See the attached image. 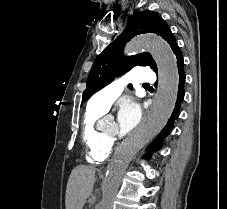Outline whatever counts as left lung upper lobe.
<instances>
[{
	"label": "left lung upper lobe",
	"mask_w": 227,
	"mask_h": 209,
	"mask_svg": "<svg viewBox=\"0 0 227 209\" xmlns=\"http://www.w3.org/2000/svg\"><path fill=\"white\" fill-rule=\"evenodd\" d=\"M154 33L165 39L172 51L178 47L166 21L157 12L146 10L128 17L124 31L95 60L87 80L82 100L87 101L95 92L109 84L115 77L126 73L134 66H149L157 73V65L150 53L129 57L122 54L124 45L134 36ZM129 88H132L129 85Z\"/></svg>",
	"instance_id": "obj_1"
}]
</instances>
